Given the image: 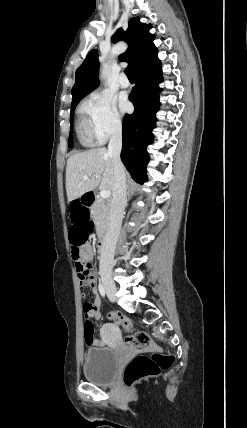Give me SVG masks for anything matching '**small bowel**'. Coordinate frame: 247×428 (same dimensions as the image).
Listing matches in <instances>:
<instances>
[{"mask_svg":"<svg viewBox=\"0 0 247 428\" xmlns=\"http://www.w3.org/2000/svg\"><path fill=\"white\" fill-rule=\"evenodd\" d=\"M81 258L89 264V272L86 280L80 279L81 286L89 287L93 293L94 299L92 302L83 304V310L86 316L98 320L100 318L101 301L97 291V275L92 263L94 252L90 245H84L81 250ZM106 344L105 339L94 340L92 345L102 346Z\"/></svg>","mask_w":247,"mask_h":428,"instance_id":"1","label":"small bowel"}]
</instances>
